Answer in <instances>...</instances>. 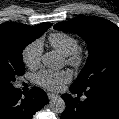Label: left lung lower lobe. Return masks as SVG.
<instances>
[{
    "mask_svg": "<svg viewBox=\"0 0 119 119\" xmlns=\"http://www.w3.org/2000/svg\"><path fill=\"white\" fill-rule=\"evenodd\" d=\"M70 91L78 96L84 92L86 99L79 101L63 94L66 109L61 119H119V89L95 87L82 91L71 85Z\"/></svg>",
    "mask_w": 119,
    "mask_h": 119,
    "instance_id": "obj_1",
    "label": "left lung lower lobe"
}]
</instances>
